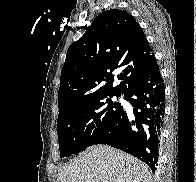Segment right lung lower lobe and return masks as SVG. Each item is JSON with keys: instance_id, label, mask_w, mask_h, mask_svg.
Here are the masks:
<instances>
[{"instance_id": "right-lung-lower-lobe-1", "label": "right lung lower lobe", "mask_w": 196, "mask_h": 182, "mask_svg": "<svg viewBox=\"0 0 196 182\" xmlns=\"http://www.w3.org/2000/svg\"><path fill=\"white\" fill-rule=\"evenodd\" d=\"M125 95V100L134 107L135 120L122 110L93 144H109L123 150L154 172L165 114V89L157 61L128 87Z\"/></svg>"}]
</instances>
